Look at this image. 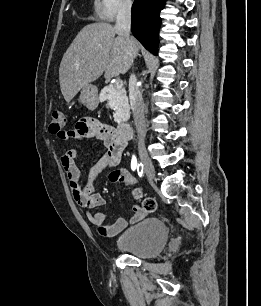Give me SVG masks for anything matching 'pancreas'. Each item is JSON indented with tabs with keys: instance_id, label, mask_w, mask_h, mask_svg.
Returning <instances> with one entry per match:
<instances>
[{
	"instance_id": "obj_1",
	"label": "pancreas",
	"mask_w": 261,
	"mask_h": 306,
	"mask_svg": "<svg viewBox=\"0 0 261 306\" xmlns=\"http://www.w3.org/2000/svg\"><path fill=\"white\" fill-rule=\"evenodd\" d=\"M124 88H117L115 84L105 86L99 95L101 101H107L109 107L114 110L113 117L117 123L129 119V103Z\"/></svg>"
}]
</instances>
